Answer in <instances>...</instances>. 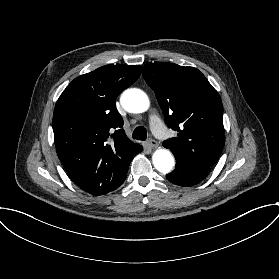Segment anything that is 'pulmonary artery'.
<instances>
[{"label": "pulmonary artery", "mask_w": 279, "mask_h": 279, "mask_svg": "<svg viewBox=\"0 0 279 279\" xmlns=\"http://www.w3.org/2000/svg\"><path fill=\"white\" fill-rule=\"evenodd\" d=\"M145 121L153 130L158 139L164 140L168 137V130L165 128L164 124L157 118L155 114H148L145 118Z\"/></svg>", "instance_id": "e3ab8cb5"}]
</instances>
